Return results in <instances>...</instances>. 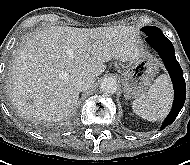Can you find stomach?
<instances>
[{
	"label": "stomach",
	"mask_w": 190,
	"mask_h": 165,
	"mask_svg": "<svg viewBox=\"0 0 190 165\" xmlns=\"http://www.w3.org/2000/svg\"><path fill=\"white\" fill-rule=\"evenodd\" d=\"M157 72V62L152 58L132 61L122 74L124 96L127 99L141 97L149 90Z\"/></svg>",
	"instance_id": "stomach-1"
}]
</instances>
